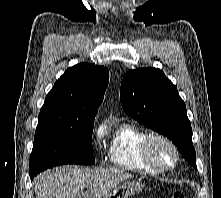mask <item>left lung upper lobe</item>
I'll list each match as a JSON object with an SVG mask.
<instances>
[{
    "instance_id": "left-lung-upper-lobe-1",
    "label": "left lung upper lobe",
    "mask_w": 221,
    "mask_h": 198,
    "mask_svg": "<svg viewBox=\"0 0 221 198\" xmlns=\"http://www.w3.org/2000/svg\"><path fill=\"white\" fill-rule=\"evenodd\" d=\"M120 101L127 115L171 139L196 168L186 105L161 70L149 67L128 71L121 83Z\"/></svg>"
}]
</instances>
